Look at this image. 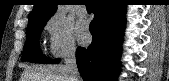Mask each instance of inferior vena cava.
I'll return each instance as SVG.
<instances>
[{"label": "inferior vena cava", "instance_id": "1", "mask_svg": "<svg viewBox=\"0 0 169 81\" xmlns=\"http://www.w3.org/2000/svg\"><path fill=\"white\" fill-rule=\"evenodd\" d=\"M65 71L69 77L70 81H80V75L76 63V48L75 46H70L67 48L65 55Z\"/></svg>", "mask_w": 169, "mask_h": 81}]
</instances>
